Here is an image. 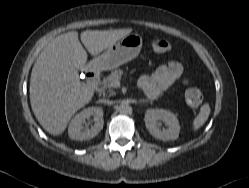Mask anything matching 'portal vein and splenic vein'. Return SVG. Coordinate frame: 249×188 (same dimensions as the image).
Masks as SVG:
<instances>
[{
    "label": "portal vein and splenic vein",
    "instance_id": "obj_1",
    "mask_svg": "<svg viewBox=\"0 0 249 188\" xmlns=\"http://www.w3.org/2000/svg\"><path fill=\"white\" fill-rule=\"evenodd\" d=\"M112 86L114 87V88H117V87H119L120 86V81H114L113 83H112Z\"/></svg>",
    "mask_w": 249,
    "mask_h": 188
}]
</instances>
